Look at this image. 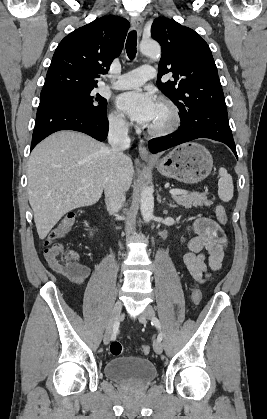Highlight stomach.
I'll list each match as a JSON object with an SVG mask.
<instances>
[{"instance_id":"0dacf381","label":"stomach","mask_w":267,"mask_h":419,"mask_svg":"<svg viewBox=\"0 0 267 419\" xmlns=\"http://www.w3.org/2000/svg\"><path fill=\"white\" fill-rule=\"evenodd\" d=\"M152 164L165 177L193 184L204 180L210 174L213 159L203 145L189 142L175 147L164 158Z\"/></svg>"}]
</instances>
